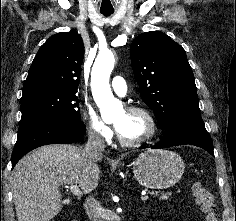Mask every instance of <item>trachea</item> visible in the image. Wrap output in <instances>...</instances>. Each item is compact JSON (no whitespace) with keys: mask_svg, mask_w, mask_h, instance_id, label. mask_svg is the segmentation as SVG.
Masks as SVG:
<instances>
[{"mask_svg":"<svg viewBox=\"0 0 236 221\" xmlns=\"http://www.w3.org/2000/svg\"><path fill=\"white\" fill-rule=\"evenodd\" d=\"M101 14L107 17V16L112 15L113 12H101Z\"/></svg>","mask_w":236,"mask_h":221,"instance_id":"3493384b","label":"trachea"}]
</instances>
